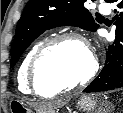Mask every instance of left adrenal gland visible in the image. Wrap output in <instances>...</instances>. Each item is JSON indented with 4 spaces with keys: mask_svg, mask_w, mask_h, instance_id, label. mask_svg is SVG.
<instances>
[{
    "mask_svg": "<svg viewBox=\"0 0 123 113\" xmlns=\"http://www.w3.org/2000/svg\"><path fill=\"white\" fill-rule=\"evenodd\" d=\"M98 113H108V110L107 109H103V111H102V109H99Z\"/></svg>",
    "mask_w": 123,
    "mask_h": 113,
    "instance_id": "left-adrenal-gland-1",
    "label": "left adrenal gland"
}]
</instances>
